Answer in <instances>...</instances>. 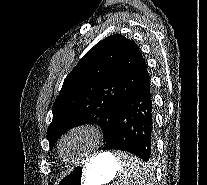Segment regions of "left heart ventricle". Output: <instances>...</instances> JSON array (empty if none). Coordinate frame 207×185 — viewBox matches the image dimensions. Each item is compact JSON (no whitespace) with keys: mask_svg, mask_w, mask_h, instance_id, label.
I'll return each instance as SVG.
<instances>
[{"mask_svg":"<svg viewBox=\"0 0 207 185\" xmlns=\"http://www.w3.org/2000/svg\"><path fill=\"white\" fill-rule=\"evenodd\" d=\"M91 145L92 139L87 133L76 132L64 141L62 154L67 160H72L86 152Z\"/></svg>","mask_w":207,"mask_h":185,"instance_id":"b2bd125f","label":"left heart ventricle"}]
</instances>
